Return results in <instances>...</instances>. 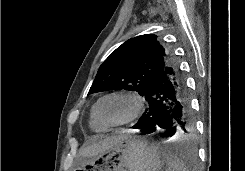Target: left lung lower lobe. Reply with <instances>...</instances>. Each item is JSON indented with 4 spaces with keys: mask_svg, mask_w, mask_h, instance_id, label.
Instances as JSON below:
<instances>
[{
    "mask_svg": "<svg viewBox=\"0 0 245 171\" xmlns=\"http://www.w3.org/2000/svg\"><path fill=\"white\" fill-rule=\"evenodd\" d=\"M144 97L149 109L133 126L141 134L162 128L165 137H174L189 130L191 106L186 81L173 60H169L162 73L150 83ZM183 156L187 162L195 161L190 152Z\"/></svg>",
    "mask_w": 245,
    "mask_h": 171,
    "instance_id": "obj_1",
    "label": "left lung lower lobe"
}]
</instances>
